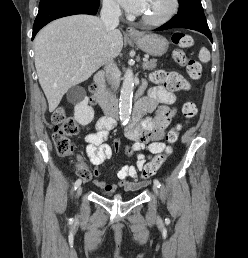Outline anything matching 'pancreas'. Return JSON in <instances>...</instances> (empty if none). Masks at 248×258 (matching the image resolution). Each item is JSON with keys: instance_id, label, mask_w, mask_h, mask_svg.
Segmentation results:
<instances>
[{"instance_id": "pancreas-1", "label": "pancreas", "mask_w": 248, "mask_h": 258, "mask_svg": "<svg viewBox=\"0 0 248 258\" xmlns=\"http://www.w3.org/2000/svg\"><path fill=\"white\" fill-rule=\"evenodd\" d=\"M156 66H157L156 59H150L149 61L143 63V68L145 70H153L156 68Z\"/></svg>"}]
</instances>
